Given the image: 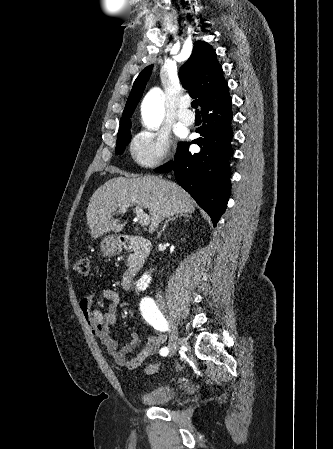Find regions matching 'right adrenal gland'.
Instances as JSON below:
<instances>
[{"label": "right adrenal gland", "instance_id": "1", "mask_svg": "<svg viewBox=\"0 0 333 449\" xmlns=\"http://www.w3.org/2000/svg\"><path fill=\"white\" fill-rule=\"evenodd\" d=\"M181 216L188 217V218H191V217H192L191 214H181V215H176V216H174L173 218H169V219L166 220V222L164 223V226H163L162 230L158 233V236H160L161 233L164 232L166 226L168 225V223H169L170 221H174V220H176L178 217H181Z\"/></svg>", "mask_w": 333, "mask_h": 449}]
</instances>
